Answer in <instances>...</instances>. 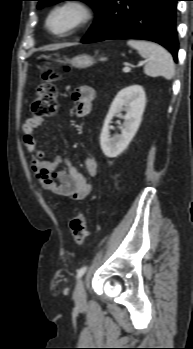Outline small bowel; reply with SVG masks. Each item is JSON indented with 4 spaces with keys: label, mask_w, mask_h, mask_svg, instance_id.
<instances>
[{
    "label": "small bowel",
    "mask_w": 193,
    "mask_h": 349,
    "mask_svg": "<svg viewBox=\"0 0 193 349\" xmlns=\"http://www.w3.org/2000/svg\"><path fill=\"white\" fill-rule=\"evenodd\" d=\"M72 99L76 103L75 114L83 118L89 115L95 99V91L89 86L77 88ZM44 123L43 118L30 117L22 125L23 144L31 156V167L41 186L56 195L70 200H83L92 191V184L80 173L70 161L62 156L53 160L46 159V153L37 148L35 130ZM84 168L88 176L93 177L98 172V163L93 156L84 160Z\"/></svg>",
    "instance_id": "1"
}]
</instances>
